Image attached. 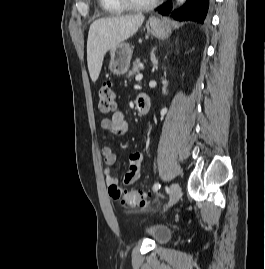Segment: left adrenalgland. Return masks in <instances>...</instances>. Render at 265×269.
I'll return each instance as SVG.
<instances>
[{
  "label": "left adrenal gland",
  "instance_id": "left-adrenal-gland-1",
  "mask_svg": "<svg viewBox=\"0 0 265 269\" xmlns=\"http://www.w3.org/2000/svg\"><path fill=\"white\" fill-rule=\"evenodd\" d=\"M151 61H152L153 69H157L158 68V59L156 58L154 52L151 55Z\"/></svg>",
  "mask_w": 265,
  "mask_h": 269
}]
</instances>
